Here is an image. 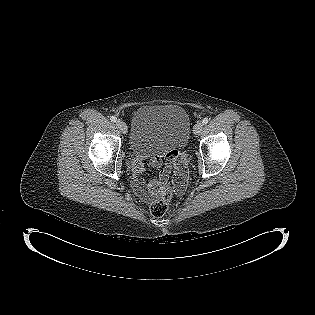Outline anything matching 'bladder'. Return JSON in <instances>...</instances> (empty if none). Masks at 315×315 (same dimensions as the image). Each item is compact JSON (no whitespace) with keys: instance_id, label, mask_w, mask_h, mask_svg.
<instances>
[{"instance_id":"bladder-1","label":"bladder","mask_w":315,"mask_h":315,"mask_svg":"<svg viewBox=\"0 0 315 315\" xmlns=\"http://www.w3.org/2000/svg\"><path fill=\"white\" fill-rule=\"evenodd\" d=\"M187 112L177 105H146L134 113L130 147L140 155L183 149L190 137Z\"/></svg>"}]
</instances>
